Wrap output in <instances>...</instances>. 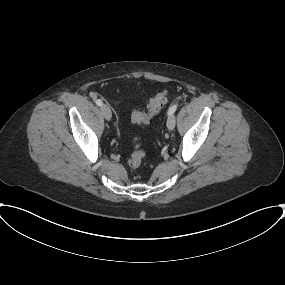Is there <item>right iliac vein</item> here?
I'll list each match as a JSON object with an SVG mask.
<instances>
[{
    "label": "right iliac vein",
    "mask_w": 285,
    "mask_h": 285,
    "mask_svg": "<svg viewBox=\"0 0 285 285\" xmlns=\"http://www.w3.org/2000/svg\"><path fill=\"white\" fill-rule=\"evenodd\" d=\"M101 112L107 121L111 119V110L107 105L103 104L101 106Z\"/></svg>",
    "instance_id": "obj_1"
}]
</instances>
